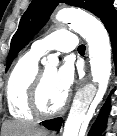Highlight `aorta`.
Here are the masks:
<instances>
[{
    "instance_id": "aorta-1",
    "label": "aorta",
    "mask_w": 117,
    "mask_h": 136,
    "mask_svg": "<svg viewBox=\"0 0 117 136\" xmlns=\"http://www.w3.org/2000/svg\"><path fill=\"white\" fill-rule=\"evenodd\" d=\"M56 20L70 23L71 27L88 43L91 75L98 90L93 86L79 90L73 100L69 115L65 122L62 136H78L82 123L90 118L89 110L102 100L111 75V45L109 35L101 23L93 16L76 9H61ZM58 57L48 56L47 64L57 66Z\"/></svg>"
}]
</instances>
